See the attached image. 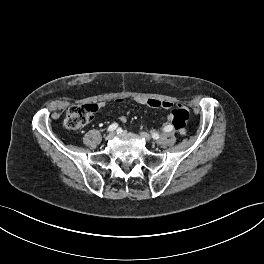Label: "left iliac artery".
I'll return each instance as SVG.
<instances>
[{"instance_id":"44dca946","label":"left iliac artery","mask_w":264,"mask_h":264,"mask_svg":"<svg viewBox=\"0 0 264 264\" xmlns=\"http://www.w3.org/2000/svg\"><path fill=\"white\" fill-rule=\"evenodd\" d=\"M173 130V126H171V125H168V126H166L165 128H164V131L165 132H170V131H172Z\"/></svg>"}]
</instances>
